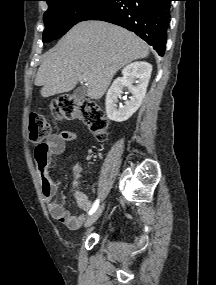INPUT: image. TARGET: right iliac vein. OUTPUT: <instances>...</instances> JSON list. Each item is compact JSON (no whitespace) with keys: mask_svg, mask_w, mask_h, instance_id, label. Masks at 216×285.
Returning a JSON list of instances; mask_svg holds the SVG:
<instances>
[{"mask_svg":"<svg viewBox=\"0 0 216 285\" xmlns=\"http://www.w3.org/2000/svg\"><path fill=\"white\" fill-rule=\"evenodd\" d=\"M104 205L102 204L91 216L86 220L85 227H89L92 224H94L98 218L100 217L102 211H103Z\"/></svg>","mask_w":216,"mask_h":285,"instance_id":"right-iliac-vein-1","label":"right iliac vein"}]
</instances>
